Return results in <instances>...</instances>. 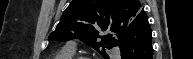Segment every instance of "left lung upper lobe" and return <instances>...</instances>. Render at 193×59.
<instances>
[{
    "label": "left lung upper lobe",
    "instance_id": "obj_1",
    "mask_svg": "<svg viewBox=\"0 0 193 59\" xmlns=\"http://www.w3.org/2000/svg\"><path fill=\"white\" fill-rule=\"evenodd\" d=\"M145 13L138 0H73L49 40L80 39L108 58L105 49L116 46L123 32ZM106 35L100 36V32Z\"/></svg>",
    "mask_w": 193,
    "mask_h": 59
}]
</instances>
